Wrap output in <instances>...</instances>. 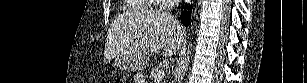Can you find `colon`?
Wrapping results in <instances>:
<instances>
[{"label": "colon", "instance_id": "1", "mask_svg": "<svg viewBox=\"0 0 307 83\" xmlns=\"http://www.w3.org/2000/svg\"><path fill=\"white\" fill-rule=\"evenodd\" d=\"M123 81H117L116 83H122Z\"/></svg>", "mask_w": 307, "mask_h": 83}]
</instances>
